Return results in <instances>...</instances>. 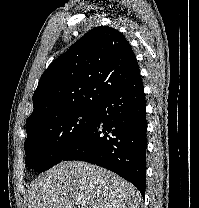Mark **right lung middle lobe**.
Wrapping results in <instances>:
<instances>
[{
  "label": "right lung middle lobe",
  "mask_w": 199,
  "mask_h": 208,
  "mask_svg": "<svg viewBox=\"0 0 199 208\" xmlns=\"http://www.w3.org/2000/svg\"><path fill=\"white\" fill-rule=\"evenodd\" d=\"M94 119V107L75 109L57 116L27 133L25 163L43 172L57 163L85 136Z\"/></svg>",
  "instance_id": "dd1d6c3e"
}]
</instances>
